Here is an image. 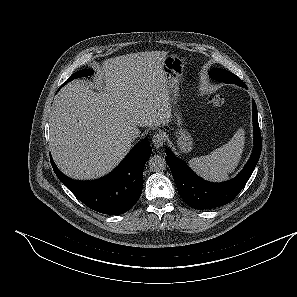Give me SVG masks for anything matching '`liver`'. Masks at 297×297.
<instances>
[{"instance_id": "liver-1", "label": "liver", "mask_w": 297, "mask_h": 297, "mask_svg": "<svg viewBox=\"0 0 297 297\" xmlns=\"http://www.w3.org/2000/svg\"><path fill=\"white\" fill-rule=\"evenodd\" d=\"M165 51L110 58L98 68L95 92L79 81L55 98L50 117V150L58 168L77 180L111 172L131 149L128 127H153L171 121Z\"/></svg>"}]
</instances>
